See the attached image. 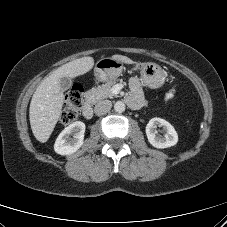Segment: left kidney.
<instances>
[{
	"mask_svg": "<svg viewBox=\"0 0 227 227\" xmlns=\"http://www.w3.org/2000/svg\"><path fill=\"white\" fill-rule=\"evenodd\" d=\"M162 127L164 136L156 135V127ZM146 135L149 143L156 148L164 149L174 146L178 142V135L174 127L164 119L152 118L146 126Z\"/></svg>",
	"mask_w": 227,
	"mask_h": 227,
	"instance_id": "1",
	"label": "left kidney"
}]
</instances>
